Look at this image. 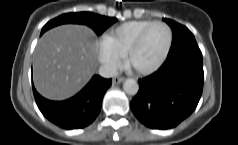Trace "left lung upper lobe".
I'll return each mask as SVG.
<instances>
[{
  "label": "left lung upper lobe",
  "mask_w": 238,
  "mask_h": 145,
  "mask_svg": "<svg viewBox=\"0 0 238 145\" xmlns=\"http://www.w3.org/2000/svg\"><path fill=\"white\" fill-rule=\"evenodd\" d=\"M163 20L168 23L171 29L177 24L175 21L170 19L164 18ZM191 45H197V43L194 35L185 27L182 36H178L177 34L173 33V41L169 55Z\"/></svg>",
  "instance_id": "left-lung-upper-lobe-1"
}]
</instances>
